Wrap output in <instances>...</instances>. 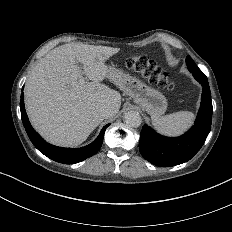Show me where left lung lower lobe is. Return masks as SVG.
Wrapping results in <instances>:
<instances>
[{
  "instance_id": "left-lung-lower-lobe-1",
  "label": "left lung lower lobe",
  "mask_w": 232,
  "mask_h": 232,
  "mask_svg": "<svg viewBox=\"0 0 232 232\" xmlns=\"http://www.w3.org/2000/svg\"><path fill=\"white\" fill-rule=\"evenodd\" d=\"M202 87L201 105L194 125L179 137L157 134L147 125L141 130L139 150L150 163L170 167L189 161L203 146L212 123V100L207 82L198 81Z\"/></svg>"
}]
</instances>
